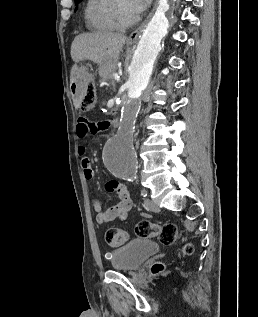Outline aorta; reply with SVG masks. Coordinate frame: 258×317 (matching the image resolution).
Here are the masks:
<instances>
[{"label":"aorta","mask_w":258,"mask_h":317,"mask_svg":"<svg viewBox=\"0 0 258 317\" xmlns=\"http://www.w3.org/2000/svg\"><path fill=\"white\" fill-rule=\"evenodd\" d=\"M168 9V0H159L156 12L138 42L128 69V99L121 109L118 130L104 148L106 168L121 179H133L137 172V155L133 148L135 122L141 108L140 96L148 85L161 41L168 33L169 22L165 15Z\"/></svg>","instance_id":"762f6f07"}]
</instances>
